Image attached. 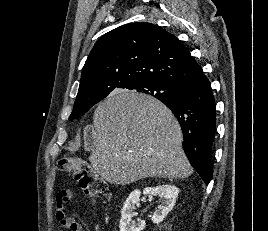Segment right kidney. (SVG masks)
I'll return each mask as SVG.
<instances>
[{"instance_id": "right-kidney-1", "label": "right kidney", "mask_w": 268, "mask_h": 231, "mask_svg": "<svg viewBox=\"0 0 268 231\" xmlns=\"http://www.w3.org/2000/svg\"><path fill=\"white\" fill-rule=\"evenodd\" d=\"M143 194H150L152 196H160L163 198V202L153 213L151 220L154 224H159L173 209L176 199L179 194V189L171 184H163L156 187H147L143 190ZM141 195V191L136 189L130 193L126 199L121 211L120 231H142L145 228V221L132 220L134 217L135 205L138 203Z\"/></svg>"}]
</instances>
